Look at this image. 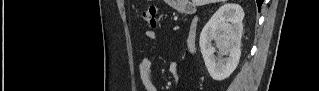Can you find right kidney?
Segmentation results:
<instances>
[{
  "instance_id": "right-kidney-1",
  "label": "right kidney",
  "mask_w": 319,
  "mask_h": 91,
  "mask_svg": "<svg viewBox=\"0 0 319 91\" xmlns=\"http://www.w3.org/2000/svg\"><path fill=\"white\" fill-rule=\"evenodd\" d=\"M244 11L238 4L221 6L204 26L199 45L210 76L217 81L228 78L236 69L241 56L242 20ZM215 41L220 54L228 55L222 59L214 55Z\"/></svg>"
}]
</instances>
